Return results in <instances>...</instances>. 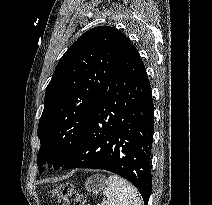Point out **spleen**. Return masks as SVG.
Wrapping results in <instances>:
<instances>
[{
    "instance_id": "1",
    "label": "spleen",
    "mask_w": 212,
    "mask_h": 205,
    "mask_svg": "<svg viewBox=\"0 0 212 205\" xmlns=\"http://www.w3.org/2000/svg\"><path fill=\"white\" fill-rule=\"evenodd\" d=\"M103 194L107 197L105 205H142L136 188L124 178L111 175L105 180Z\"/></svg>"
}]
</instances>
